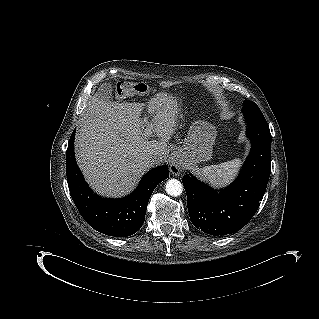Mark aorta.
Here are the masks:
<instances>
[{
    "mask_svg": "<svg viewBox=\"0 0 319 319\" xmlns=\"http://www.w3.org/2000/svg\"><path fill=\"white\" fill-rule=\"evenodd\" d=\"M166 192L170 196H180L183 192V185L177 179H169L166 182Z\"/></svg>",
    "mask_w": 319,
    "mask_h": 319,
    "instance_id": "obj_1",
    "label": "aorta"
}]
</instances>
